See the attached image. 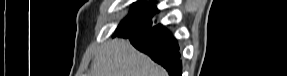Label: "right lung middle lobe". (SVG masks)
Here are the masks:
<instances>
[{"instance_id":"dd1d6c3e","label":"right lung middle lobe","mask_w":287,"mask_h":76,"mask_svg":"<svg viewBox=\"0 0 287 76\" xmlns=\"http://www.w3.org/2000/svg\"><path fill=\"white\" fill-rule=\"evenodd\" d=\"M134 9L120 23L114 35L127 37L132 34H141L152 26L151 18L158 11L152 4L134 3Z\"/></svg>"}]
</instances>
